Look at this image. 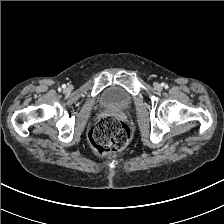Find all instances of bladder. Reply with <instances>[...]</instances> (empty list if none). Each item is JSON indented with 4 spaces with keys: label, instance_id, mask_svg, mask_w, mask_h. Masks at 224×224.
Segmentation results:
<instances>
[{
    "label": "bladder",
    "instance_id": "31cf9c89",
    "mask_svg": "<svg viewBox=\"0 0 224 224\" xmlns=\"http://www.w3.org/2000/svg\"><path fill=\"white\" fill-rule=\"evenodd\" d=\"M100 103L107 109L125 111L132 107L133 100L130 94L122 88L111 86L103 91Z\"/></svg>",
    "mask_w": 224,
    "mask_h": 224
}]
</instances>
